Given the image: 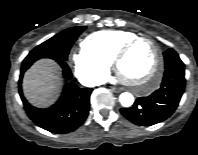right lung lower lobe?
<instances>
[{"instance_id":"obj_1","label":"right lung lower lobe","mask_w":198,"mask_h":155,"mask_svg":"<svg viewBox=\"0 0 198 155\" xmlns=\"http://www.w3.org/2000/svg\"><path fill=\"white\" fill-rule=\"evenodd\" d=\"M63 69L65 79L71 78V71L65 60L54 59ZM36 60L22 63L20 73V96L29 118L41 128L53 133H68L83 124L89 113V98L92 92L90 88H80L73 83H68L63 89L59 100L50 108L39 109L31 106L21 90V80L24 72Z\"/></svg>"}]
</instances>
